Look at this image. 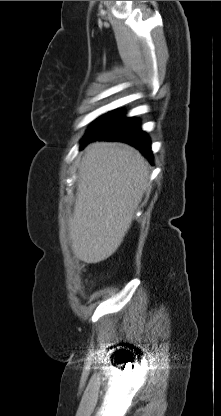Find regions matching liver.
Masks as SVG:
<instances>
[{
	"label": "liver",
	"mask_w": 221,
	"mask_h": 416,
	"mask_svg": "<svg viewBox=\"0 0 221 416\" xmlns=\"http://www.w3.org/2000/svg\"><path fill=\"white\" fill-rule=\"evenodd\" d=\"M148 185V162L138 150L123 143L90 144L69 220L74 255L95 264L115 253Z\"/></svg>",
	"instance_id": "1"
}]
</instances>
